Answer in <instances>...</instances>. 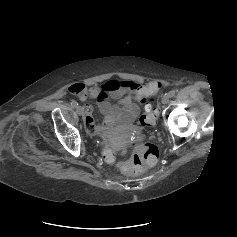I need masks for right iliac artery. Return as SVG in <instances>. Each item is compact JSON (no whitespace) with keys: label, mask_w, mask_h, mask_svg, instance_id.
I'll return each mask as SVG.
<instances>
[{"label":"right iliac artery","mask_w":237,"mask_h":237,"mask_svg":"<svg viewBox=\"0 0 237 237\" xmlns=\"http://www.w3.org/2000/svg\"><path fill=\"white\" fill-rule=\"evenodd\" d=\"M71 106H72L73 108H76V107L78 106V103H77L76 101H72V102H71Z\"/></svg>","instance_id":"obj_1"}]
</instances>
